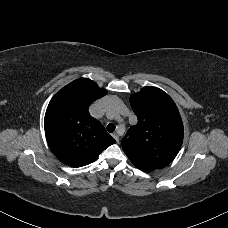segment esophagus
Masks as SVG:
<instances>
[{
	"label": "esophagus",
	"mask_w": 228,
	"mask_h": 228,
	"mask_svg": "<svg viewBox=\"0 0 228 228\" xmlns=\"http://www.w3.org/2000/svg\"><path fill=\"white\" fill-rule=\"evenodd\" d=\"M113 137L115 138V140H116L117 142H119V135H118V133H114V134H113Z\"/></svg>",
	"instance_id": "34e87169"
}]
</instances>
